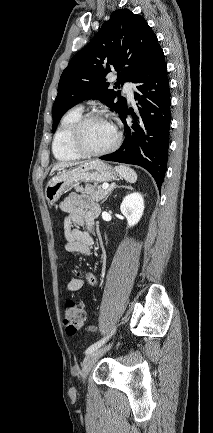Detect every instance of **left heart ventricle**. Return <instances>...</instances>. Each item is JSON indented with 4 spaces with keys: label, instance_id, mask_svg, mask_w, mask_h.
<instances>
[{
    "label": "left heart ventricle",
    "instance_id": "obj_1",
    "mask_svg": "<svg viewBox=\"0 0 213 433\" xmlns=\"http://www.w3.org/2000/svg\"><path fill=\"white\" fill-rule=\"evenodd\" d=\"M115 139V129L104 120L88 122L83 131V143L91 151L105 150L114 143Z\"/></svg>",
    "mask_w": 213,
    "mask_h": 433
}]
</instances>
